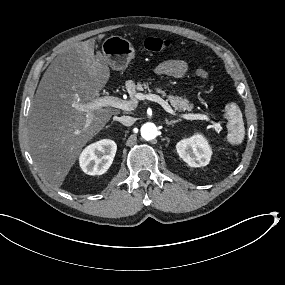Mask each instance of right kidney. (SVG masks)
I'll list each match as a JSON object with an SVG mask.
<instances>
[{"mask_svg":"<svg viewBox=\"0 0 285 285\" xmlns=\"http://www.w3.org/2000/svg\"><path fill=\"white\" fill-rule=\"evenodd\" d=\"M117 145L112 140H101L87 147L81 157L80 165L88 175H102L111 166Z\"/></svg>","mask_w":285,"mask_h":285,"instance_id":"1","label":"right kidney"}]
</instances>
